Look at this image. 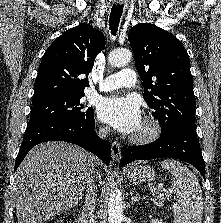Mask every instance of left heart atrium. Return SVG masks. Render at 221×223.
I'll return each instance as SVG.
<instances>
[{"label": "left heart atrium", "instance_id": "1", "mask_svg": "<svg viewBox=\"0 0 221 223\" xmlns=\"http://www.w3.org/2000/svg\"><path fill=\"white\" fill-rule=\"evenodd\" d=\"M98 118L115 130L132 134L142 125V112L138 101L132 96H110L98 106Z\"/></svg>", "mask_w": 221, "mask_h": 223}]
</instances>
